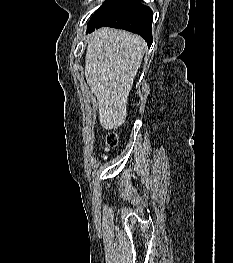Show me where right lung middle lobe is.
<instances>
[{
    "mask_svg": "<svg viewBox=\"0 0 233 263\" xmlns=\"http://www.w3.org/2000/svg\"><path fill=\"white\" fill-rule=\"evenodd\" d=\"M129 0H106L92 17L93 22L106 23L118 14Z\"/></svg>",
    "mask_w": 233,
    "mask_h": 263,
    "instance_id": "1",
    "label": "right lung middle lobe"
}]
</instances>
